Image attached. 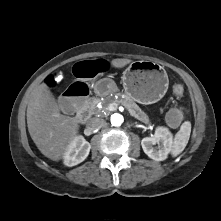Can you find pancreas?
Segmentation results:
<instances>
[{
    "instance_id": "1",
    "label": "pancreas",
    "mask_w": 221,
    "mask_h": 221,
    "mask_svg": "<svg viewBox=\"0 0 221 221\" xmlns=\"http://www.w3.org/2000/svg\"><path fill=\"white\" fill-rule=\"evenodd\" d=\"M100 102L99 99H93L89 102L88 112L90 114L99 113L101 110L106 109L110 103H118L128 109L129 113L139 121L149 125L150 120L146 113H144L140 107L131 99L128 95H118V98L114 97L103 101V108H97V104Z\"/></svg>"
}]
</instances>
